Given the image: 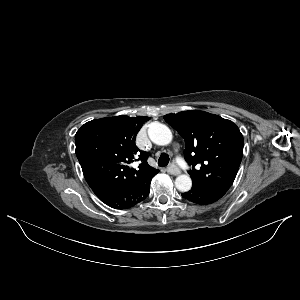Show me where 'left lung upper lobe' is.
<instances>
[{
	"mask_svg": "<svg viewBox=\"0 0 300 300\" xmlns=\"http://www.w3.org/2000/svg\"><path fill=\"white\" fill-rule=\"evenodd\" d=\"M165 121L185 140L193 185L227 192L243 155V136L230 120L199 110L167 114ZM198 165L200 168L195 169Z\"/></svg>",
	"mask_w": 300,
	"mask_h": 300,
	"instance_id": "obj_1",
	"label": "left lung upper lobe"
}]
</instances>
